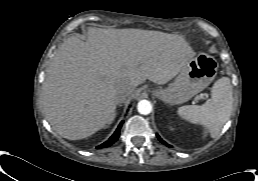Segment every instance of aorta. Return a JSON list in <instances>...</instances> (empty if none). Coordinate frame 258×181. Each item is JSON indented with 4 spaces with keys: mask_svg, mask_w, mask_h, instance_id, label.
<instances>
[{
    "mask_svg": "<svg viewBox=\"0 0 258 181\" xmlns=\"http://www.w3.org/2000/svg\"><path fill=\"white\" fill-rule=\"evenodd\" d=\"M137 110L142 115H148L152 111V105L148 100H141L138 102Z\"/></svg>",
    "mask_w": 258,
    "mask_h": 181,
    "instance_id": "aorta-1",
    "label": "aorta"
}]
</instances>
